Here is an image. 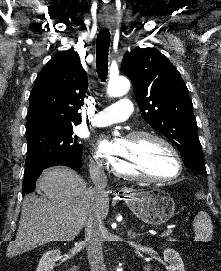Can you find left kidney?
Returning <instances> with one entry per match:
<instances>
[{"label":"left kidney","mask_w":221,"mask_h":271,"mask_svg":"<svg viewBox=\"0 0 221 271\" xmlns=\"http://www.w3.org/2000/svg\"><path fill=\"white\" fill-rule=\"evenodd\" d=\"M164 265H166L168 271H185L182 257L176 249L166 247L163 251Z\"/></svg>","instance_id":"left-kidney-1"}]
</instances>
